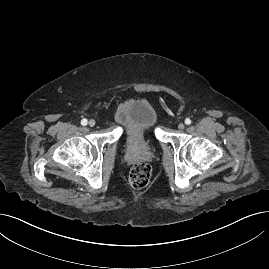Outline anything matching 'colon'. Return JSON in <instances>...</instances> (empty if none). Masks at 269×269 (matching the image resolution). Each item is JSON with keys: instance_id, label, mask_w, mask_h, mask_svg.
<instances>
[{"instance_id": "colon-1", "label": "colon", "mask_w": 269, "mask_h": 269, "mask_svg": "<svg viewBox=\"0 0 269 269\" xmlns=\"http://www.w3.org/2000/svg\"><path fill=\"white\" fill-rule=\"evenodd\" d=\"M152 176V169L147 163H139L135 165L129 174V182L134 188L146 187Z\"/></svg>"}]
</instances>
